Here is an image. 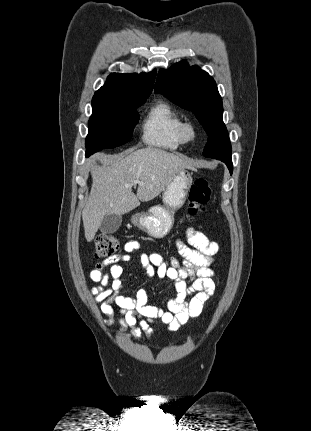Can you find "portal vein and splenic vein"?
Here are the masks:
<instances>
[{"label": "portal vein and splenic vein", "instance_id": "obj_1", "mask_svg": "<svg viewBox=\"0 0 311 431\" xmlns=\"http://www.w3.org/2000/svg\"><path fill=\"white\" fill-rule=\"evenodd\" d=\"M137 184H143V182H139V180H134L132 184H127V186H137Z\"/></svg>", "mask_w": 311, "mask_h": 431}]
</instances>
